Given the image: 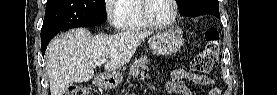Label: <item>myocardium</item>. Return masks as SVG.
Wrapping results in <instances>:
<instances>
[{"label": "myocardium", "instance_id": "obj_1", "mask_svg": "<svg viewBox=\"0 0 277 95\" xmlns=\"http://www.w3.org/2000/svg\"><path fill=\"white\" fill-rule=\"evenodd\" d=\"M149 1L150 0H143L142 7H141L142 16L145 19V21L148 23V25L150 27H153V28H167V27L172 26L174 24L176 18H177V15H178L177 1L176 0H170L172 5H173V14H172V17L168 21L163 22V23H158V22L154 21L148 15L147 8H148Z\"/></svg>", "mask_w": 277, "mask_h": 95}]
</instances>
